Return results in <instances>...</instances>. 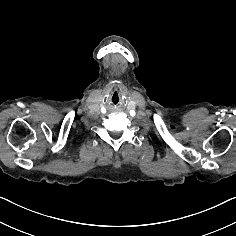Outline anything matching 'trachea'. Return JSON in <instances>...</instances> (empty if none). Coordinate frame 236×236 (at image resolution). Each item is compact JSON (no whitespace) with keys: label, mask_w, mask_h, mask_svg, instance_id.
<instances>
[{"label":"trachea","mask_w":236,"mask_h":236,"mask_svg":"<svg viewBox=\"0 0 236 236\" xmlns=\"http://www.w3.org/2000/svg\"><path fill=\"white\" fill-rule=\"evenodd\" d=\"M121 97H122L121 92L118 90H115L112 92L111 96L109 97V102L112 105H117L120 102Z\"/></svg>","instance_id":"1"}]
</instances>
